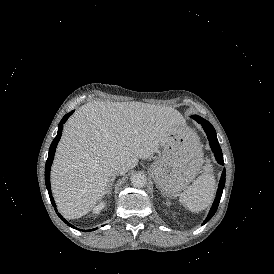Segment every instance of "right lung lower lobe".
<instances>
[{"label":"right lung lower lobe","instance_id":"1","mask_svg":"<svg viewBox=\"0 0 274 274\" xmlns=\"http://www.w3.org/2000/svg\"><path fill=\"white\" fill-rule=\"evenodd\" d=\"M73 113V111H71L70 113L66 114L61 122L59 123L58 125V132H57V135L55 137V139L53 140L51 146H50V150H49V154H48V159H47V162H46V166H45V183H46V187L48 189V193H49V197H50V200H51V203L54 207H56L55 203H54V200H53V197H52V193H51V187H50V168H51V164H52V161H53V158H54V154H55V149H56V146L61 138V134H62V129H63V124L65 123V121L68 119V117ZM57 211V210H56ZM58 216L65 222L67 223V225L71 226L74 228L73 225L69 224L59 213H57ZM94 229H91L89 231H92Z\"/></svg>","mask_w":274,"mask_h":274}]
</instances>
